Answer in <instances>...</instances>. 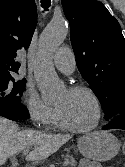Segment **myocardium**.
Segmentation results:
<instances>
[{"mask_svg":"<svg viewBox=\"0 0 125 167\" xmlns=\"http://www.w3.org/2000/svg\"><path fill=\"white\" fill-rule=\"evenodd\" d=\"M68 91L71 93H86L87 95H89L91 97V99L93 100L95 107H96V118L95 121L88 127L85 128H77L74 127L73 125H71L65 118V116L63 115V113L61 112V110L56 107V111H57V115H58V119H59V123L60 126L70 132L73 133H87L90 132L92 130H94L95 128H97V126L99 125L100 121H101V117H102V106H101V102L98 98V96L96 95V93L88 86L85 85H73L71 87L68 88Z\"/></svg>","mask_w":125,"mask_h":167,"instance_id":"obj_1","label":"myocardium"}]
</instances>
